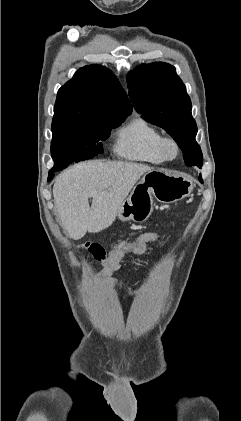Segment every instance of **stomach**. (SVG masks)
Segmentation results:
<instances>
[{
	"mask_svg": "<svg viewBox=\"0 0 241 421\" xmlns=\"http://www.w3.org/2000/svg\"><path fill=\"white\" fill-rule=\"evenodd\" d=\"M190 177L174 174L163 169H152L141 178L117 212L121 221L142 223L151 215L154 198L170 204L188 197L193 191Z\"/></svg>",
	"mask_w": 241,
	"mask_h": 421,
	"instance_id": "obj_1",
	"label": "stomach"
}]
</instances>
